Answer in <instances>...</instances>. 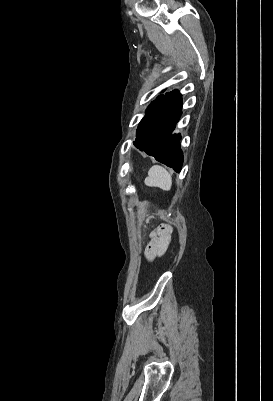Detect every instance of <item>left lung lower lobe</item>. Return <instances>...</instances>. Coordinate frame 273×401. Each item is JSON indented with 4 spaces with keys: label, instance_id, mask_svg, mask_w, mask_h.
<instances>
[{
    "label": "left lung lower lobe",
    "instance_id": "0a47b994",
    "mask_svg": "<svg viewBox=\"0 0 273 401\" xmlns=\"http://www.w3.org/2000/svg\"><path fill=\"white\" fill-rule=\"evenodd\" d=\"M182 99L178 90L159 95L138 125L134 145L157 161L180 172L183 154L180 135L172 134L179 121Z\"/></svg>",
    "mask_w": 273,
    "mask_h": 401
}]
</instances>
